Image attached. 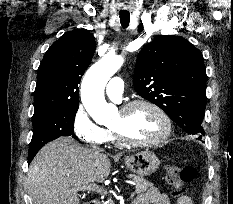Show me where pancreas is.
I'll list each match as a JSON object with an SVG mask.
<instances>
[{
  "label": "pancreas",
  "mask_w": 233,
  "mask_h": 204,
  "mask_svg": "<svg viewBox=\"0 0 233 204\" xmlns=\"http://www.w3.org/2000/svg\"><path fill=\"white\" fill-rule=\"evenodd\" d=\"M128 178L132 179L136 186H135V192L137 194L144 193L149 187H152L153 184L148 182L146 179L140 176L135 175H128ZM109 204H114L113 202H110Z\"/></svg>",
  "instance_id": "1"
}]
</instances>
